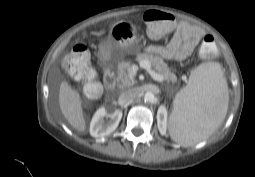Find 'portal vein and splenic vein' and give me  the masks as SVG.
I'll list each match as a JSON object with an SVG mask.
<instances>
[{
	"mask_svg": "<svg viewBox=\"0 0 255 177\" xmlns=\"http://www.w3.org/2000/svg\"><path fill=\"white\" fill-rule=\"evenodd\" d=\"M139 66H140V68L146 69L154 80H156L158 82H162L164 80V78L161 75H159L158 73H156L155 71H153L151 69V64L149 61L141 60L139 62ZM136 72H137V67L133 66L129 73V77L130 78L134 77L136 75Z\"/></svg>",
	"mask_w": 255,
	"mask_h": 177,
	"instance_id": "obj_1",
	"label": "portal vein and splenic vein"
}]
</instances>
